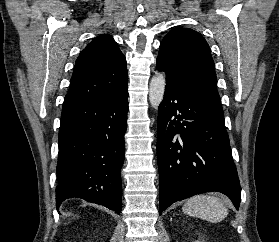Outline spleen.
<instances>
[{
  "label": "spleen",
  "instance_id": "spleen-1",
  "mask_svg": "<svg viewBox=\"0 0 279 242\" xmlns=\"http://www.w3.org/2000/svg\"><path fill=\"white\" fill-rule=\"evenodd\" d=\"M183 212L213 223L222 221L228 215V209L216 196L195 195L187 200Z\"/></svg>",
  "mask_w": 279,
  "mask_h": 242
}]
</instances>
